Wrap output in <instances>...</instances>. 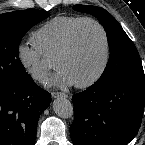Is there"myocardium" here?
I'll return each instance as SVG.
<instances>
[{"label":"myocardium","instance_id":"f54148a6","mask_svg":"<svg viewBox=\"0 0 145 145\" xmlns=\"http://www.w3.org/2000/svg\"><path fill=\"white\" fill-rule=\"evenodd\" d=\"M86 23H91L95 25L101 31L104 40V46H105V56L99 70L95 73L94 76H92L89 80L83 83L74 84V86L79 89H86L96 84L105 74L111 60V43L106 28L98 20L90 17H84L80 19L70 30L67 39L65 41V44L63 45L62 49L54 59L55 67L57 68V63L63 58H65L66 56H68L69 53L72 51L77 31L81 25Z\"/></svg>","mask_w":145,"mask_h":145}]
</instances>
